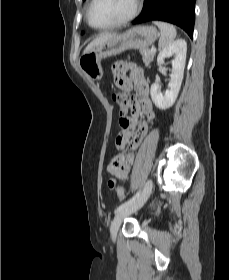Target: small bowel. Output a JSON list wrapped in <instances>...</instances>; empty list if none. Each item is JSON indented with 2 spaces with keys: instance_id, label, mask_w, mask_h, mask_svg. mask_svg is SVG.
<instances>
[{
  "instance_id": "c3829d8e",
  "label": "small bowel",
  "mask_w": 229,
  "mask_h": 280,
  "mask_svg": "<svg viewBox=\"0 0 229 280\" xmlns=\"http://www.w3.org/2000/svg\"><path fill=\"white\" fill-rule=\"evenodd\" d=\"M129 69L128 65H116L111 70V78L122 89L130 90L134 84L136 92L128 104L124 105L119 101L121 94H114V101L120 105V114L127 116L128 110H130V126L135 125L138 122L140 115L145 116L142 119L135 130L130 128L121 130L116 137L115 144L118 150H123L127 146L130 149L128 157L129 164L133 163L134 153L138 149L141 141L143 140L149 126L155 119V113L153 110L152 101L149 95V83L145 76L135 70L131 77H128L126 72ZM109 173L114 180H126L128 178L129 171H111Z\"/></svg>"
}]
</instances>
